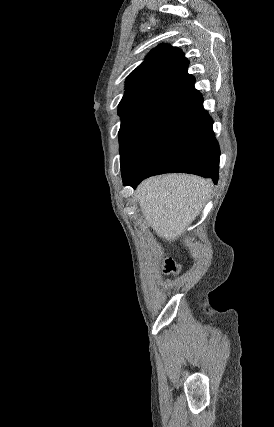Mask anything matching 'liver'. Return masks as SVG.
<instances>
[{"label":"liver","instance_id":"6515ba94","mask_svg":"<svg viewBox=\"0 0 274 427\" xmlns=\"http://www.w3.org/2000/svg\"><path fill=\"white\" fill-rule=\"evenodd\" d=\"M209 180L188 174H167L138 186V204L159 237L173 241L200 214L210 194Z\"/></svg>","mask_w":274,"mask_h":427}]
</instances>
